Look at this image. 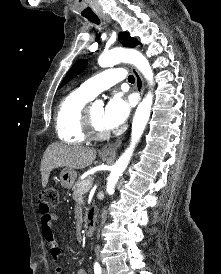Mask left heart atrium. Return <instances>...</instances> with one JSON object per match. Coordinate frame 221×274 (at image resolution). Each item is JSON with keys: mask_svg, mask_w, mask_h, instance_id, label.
Returning <instances> with one entry per match:
<instances>
[{"mask_svg": "<svg viewBox=\"0 0 221 274\" xmlns=\"http://www.w3.org/2000/svg\"><path fill=\"white\" fill-rule=\"evenodd\" d=\"M130 102L121 95L113 96L103 110L101 125L106 130L120 126L128 117Z\"/></svg>", "mask_w": 221, "mask_h": 274, "instance_id": "obj_1", "label": "left heart atrium"}]
</instances>
